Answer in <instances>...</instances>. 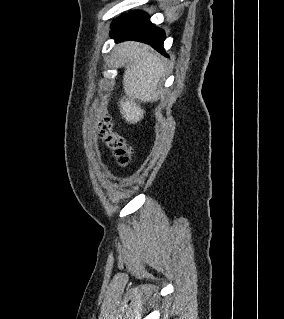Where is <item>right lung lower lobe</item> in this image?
<instances>
[{"label":"right lung lower lobe","instance_id":"1","mask_svg":"<svg viewBox=\"0 0 284 319\" xmlns=\"http://www.w3.org/2000/svg\"><path fill=\"white\" fill-rule=\"evenodd\" d=\"M111 37L117 42L135 40L150 44L161 54L166 53L163 49L165 33L155 27L149 20V16L143 11H133L116 20L112 24Z\"/></svg>","mask_w":284,"mask_h":319}]
</instances>
